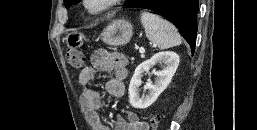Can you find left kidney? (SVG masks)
Segmentation results:
<instances>
[{
  "mask_svg": "<svg viewBox=\"0 0 257 130\" xmlns=\"http://www.w3.org/2000/svg\"><path fill=\"white\" fill-rule=\"evenodd\" d=\"M180 62L179 56L175 52L165 51L155 54L149 60L142 62L134 71L129 85V102L137 109H145L153 104L158 96L167 88L174 76ZM157 63H163L165 66L162 70L155 71L157 76L155 84H146L149 90L146 96H139V86L141 85V77L144 72H148L151 67Z\"/></svg>",
  "mask_w": 257,
  "mask_h": 130,
  "instance_id": "obj_1",
  "label": "left kidney"
}]
</instances>
